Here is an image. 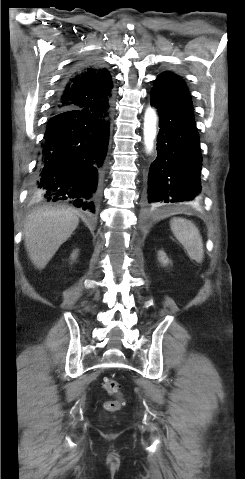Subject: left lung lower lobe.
I'll return each mask as SVG.
<instances>
[{
    "label": "left lung lower lobe",
    "instance_id": "obj_1",
    "mask_svg": "<svg viewBox=\"0 0 245 479\" xmlns=\"http://www.w3.org/2000/svg\"><path fill=\"white\" fill-rule=\"evenodd\" d=\"M150 101L158 109L160 130L146 202L181 206L196 201L202 157L188 89L175 74L159 76Z\"/></svg>",
    "mask_w": 245,
    "mask_h": 479
}]
</instances>
